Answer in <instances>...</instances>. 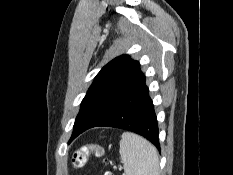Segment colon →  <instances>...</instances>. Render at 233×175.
<instances>
[{
    "instance_id": "5ec220e1",
    "label": "colon",
    "mask_w": 233,
    "mask_h": 175,
    "mask_svg": "<svg viewBox=\"0 0 233 175\" xmlns=\"http://www.w3.org/2000/svg\"><path fill=\"white\" fill-rule=\"evenodd\" d=\"M91 155H95L97 157H104L105 156L104 147L101 144L95 142L86 143L79 146L74 150L72 154L73 166L77 168L83 167L87 163ZM104 175H115V174L111 171H107L105 172Z\"/></svg>"
}]
</instances>
